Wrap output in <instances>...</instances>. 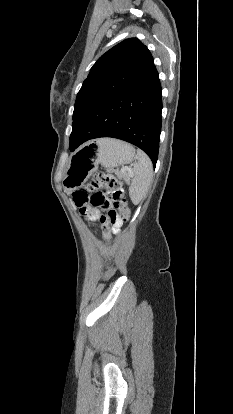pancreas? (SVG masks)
I'll use <instances>...</instances> for the list:
<instances>
[{
    "label": "pancreas",
    "instance_id": "cf45deb5",
    "mask_svg": "<svg viewBox=\"0 0 233 414\" xmlns=\"http://www.w3.org/2000/svg\"><path fill=\"white\" fill-rule=\"evenodd\" d=\"M116 174H117V176L119 178L124 179L126 183H128L130 181V175H129V173L122 172V171L121 172L117 171Z\"/></svg>",
    "mask_w": 233,
    "mask_h": 414
}]
</instances>
